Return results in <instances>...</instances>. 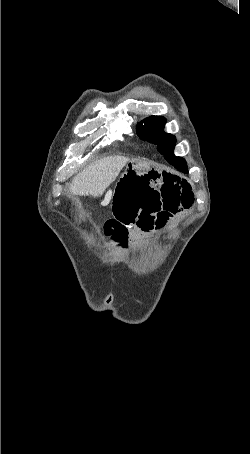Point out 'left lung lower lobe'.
I'll return each mask as SVG.
<instances>
[{
  "label": "left lung lower lobe",
  "mask_w": 250,
  "mask_h": 454,
  "mask_svg": "<svg viewBox=\"0 0 250 454\" xmlns=\"http://www.w3.org/2000/svg\"><path fill=\"white\" fill-rule=\"evenodd\" d=\"M170 164H172L176 169L181 172L188 173L186 161L182 157H177L175 159L168 160Z\"/></svg>",
  "instance_id": "1"
}]
</instances>
